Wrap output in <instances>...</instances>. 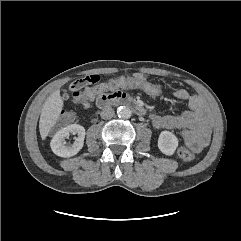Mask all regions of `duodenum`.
<instances>
[{
    "label": "duodenum",
    "mask_w": 241,
    "mask_h": 241,
    "mask_svg": "<svg viewBox=\"0 0 241 241\" xmlns=\"http://www.w3.org/2000/svg\"><path fill=\"white\" fill-rule=\"evenodd\" d=\"M96 105L100 109H105L111 105H125L131 108L136 114L144 115V108L126 93L115 91L102 93L96 100Z\"/></svg>",
    "instance_id": "obj_1"
}]
</instances>
